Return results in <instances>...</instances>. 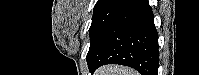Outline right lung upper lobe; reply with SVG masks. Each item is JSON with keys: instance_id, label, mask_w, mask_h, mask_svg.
<instances>
[{"instance_id": "1", "label": "right lung upper lobe", "mask_w": 199, "mask_h": 75, "mask_svg": "<svg viewBox=\"0 0 199 75\" xmlns=\"http://www.w3.org/2000/svg\"><path fill=\"white\" fill-rule=\"evenodd\" d=\"M110 1H112V0H98L95 6H98V5H101L103 3H107V2H110Z\"/></svg>"}]
</instances>
